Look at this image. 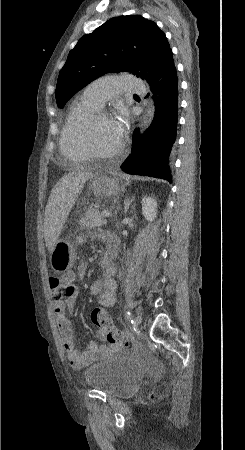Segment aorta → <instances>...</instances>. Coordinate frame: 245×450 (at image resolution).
<instances>
[{
  "label": "aorta",
  "mask_w": 245,
  "mask_h": 450,
  "mask_svg": "<svg viewBox=\"0 0 245 450\" xmlns=\"http://www.w3.org/2000/svg\"><path fill=\"white\" fill-rule=\"evenodd\" d=\"M154 112V106L152 99L147 101V110L145 112L144 118H143V127L144 129L150 124Z\"/></svg>",
  "instance_id": "obj_1"
}]
</instances>
